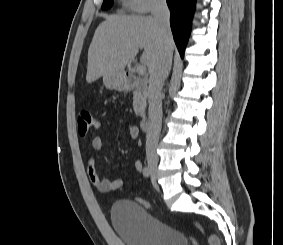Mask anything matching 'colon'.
Listing matches in <instances>:
<instances>
[{"mask_svg":"<svg viewBox=\"0 0 283 245\" xmlns=\"http://www.w3.org/2000/svg\"><path fill=\"white\" fill-rule=\"evenodd\" d=\"M78 133L80 137L85 138L88 133L98 127V122L93 118L92 114L89 111H82L78 115ZM122 186V180L120 178H115L111 180V191H116ZM139 203L146 208L150 207V204L143 200L139 199ZM209 245H220V241L216 235L208 236Z\"/></svg>","mask_w":283,"mask_h":245,"instance_id":"colon-1","label":"colon"}]
</instances>
